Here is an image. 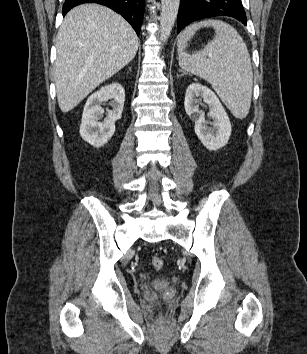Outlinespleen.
I'll use <instances>...</instances> for the list:
<instances>
[{"mask_svg": "<svg viewBox=\"0 0 307 354\" xmlns=\"http://www.w3.org/2000/svg\"><path fill=\"white\" fill-rule=\"evenodd\" d=\"M202 27H213L215 37L201 51L186 53L187 42ZM177 46L180 67L209 82L231 113L244 119L251 105L253 71L246 44L236 29L218 20L194 23L180 35Z\"/></svg>", "mask_w": 307, "mask_h": 354, "instance_id": "obj_1", "label": "spleen"}]
</instances>
